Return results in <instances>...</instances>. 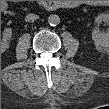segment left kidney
<instances>
[{"label": "left kidney", "mask_w": 109, "mask_h": 109, "mask_svg": "<svg viewBox=\"0 0 109 109\" xmlns=\"http://www.w3.org/2000/svg\"><path fill=\"white\" fill-rule=\"evenodd\" d=\"M95 22L100 24L104 22L105 24L109 23V15L107 13L99 14L95 18ZM92 39L97 47H107L109 45V32H101L98 28H95L92 32Z\"/></svg>", "instance_id": "1"}]
</instances>
